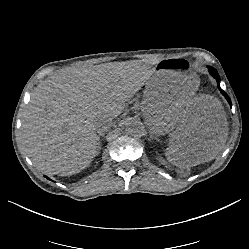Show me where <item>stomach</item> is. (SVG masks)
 Masks as SVG:
<instances>
[{
    "mask_svg": "<svg viewBox=\"0 0 249 249\" xmlns=\"http://www.w3.org/2000/svg\"><path fill=\"white\" fill-rule=\"evenodd\" d=\"M197 88L198 78L185 61L175 57L161 59L145 85L147 126L162 135L174 132L186 114L185 101L192 99Z\"/></svg>",
    "mask_w": 249,
    "mask_h": 249,
    "instance_id": "1",
    "label": "stomach"
}]
</instances>
